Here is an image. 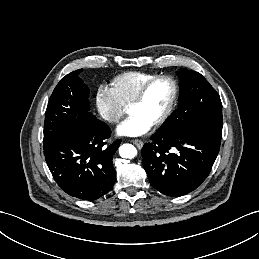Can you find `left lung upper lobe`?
<instances>
[{"instance_id": "left-lung-upper-lobe-1", "label": "left lung upper lobe", "mask_w": 259, "mask_h": 259, "mask_svg": "<svg viewBox=\"0 0 259 259\" xmlns=\"http://www.w3.org/2000/svg\"><path fill=\"white\" fill-rule=\"evenodd\" d=\"M178 109L158 130L169 136L181 135L202 123L223 126L220 96L200 73L181 69Z\"/></svg>"}]
</instances>
